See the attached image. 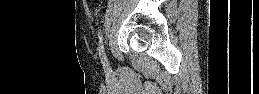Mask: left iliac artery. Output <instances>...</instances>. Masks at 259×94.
<instances>
[{
  "instance_id": "obj_1",
  "label": "left iliac artery",
  "mask_w": 259,
  "mask_h": 94,
  "mask_svg": "<svg viewBox=\"0 0 259 94\" xmlns=\"http://www.w3.org/2000/svg\"><path fill=\"white\" fill-rule=\"evenodd\" d=\"M99 55H100L103 66L105 68H108L109 63H108V60H107L106 55H105L104 45H103V36L102 35L99 37Z\"/></svg>"
}]
</instances>
